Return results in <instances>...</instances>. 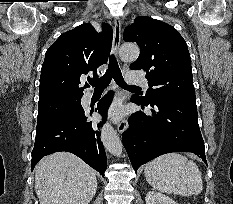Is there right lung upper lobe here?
Instances as JSON below:
<instances>
[{
  "instance_id": "obj_1",
  "label": "right lung upper lobe",
  "mask_w": 233,
  "mask_h": 204,
  "mask_svg": "<svg viewBox=\"0 0 233 204\" xmlns=\"http://www.w3.org/2000/svg\"><path fill=\"white\" fill-rule=\"evenodd\" d=\"M113 31L108 24L97 33L91 24H81L63 33L46 51L41 68L39 102L83 95V74L93 73L107 62Z\"/></svg>"
}]
</instances>
